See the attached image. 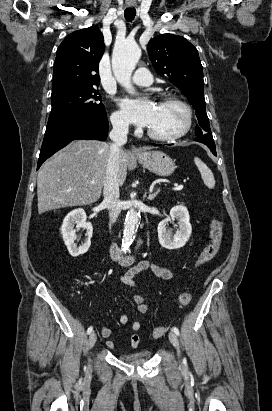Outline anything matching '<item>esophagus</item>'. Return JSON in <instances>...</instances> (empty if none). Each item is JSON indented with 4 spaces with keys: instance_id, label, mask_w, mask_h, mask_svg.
<instances>
[{
    "instance_id": "obj_1",
    "label": "esophagus",
    "mask_w": 272,
    "mask_h": 411,
    "mask_svg": "<svg viewBox=\"0 0 272 411\" xmlns=\"http://www.w3.org/2000/svg\"><path fill=\"white\" fill-rule=\"evenodd\" d=\"M131 153H132L133 155H135V156H139V155H142V154H143V151H142L141 148L136 147V146H133V147L131 148Z\"/></svg>"
}]
</instances>
